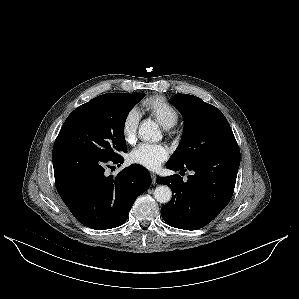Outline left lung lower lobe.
I'll use <instances>...</instances> for the list:
<instances>
[{"mask_svg": "<svg viewBox=\"0 0 299 299\" xmlns=\"http://www.w3.org/2000/svg\"><path fill=\"white\" fill-rule=\"evenodd\" d=\"M240 164L238 145L214 151L193 162L167 163L174 171L194 172L186 182L179 175L159 177L158 184L170 186L173 196L161 208L164 221L175 228L197 230L210 223L229 203Z\"/></svg>", "mask_w": 299, "mask_h": 299, "instance_id": "0a47b994", "label": "left lung lower lobe"}]
</instances>
